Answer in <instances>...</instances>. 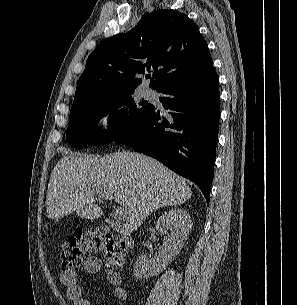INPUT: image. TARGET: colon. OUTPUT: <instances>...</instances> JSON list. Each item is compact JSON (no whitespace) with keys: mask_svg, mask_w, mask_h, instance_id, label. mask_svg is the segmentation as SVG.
Here are the masks:
<instances>
[{"mask_svg":"<svg viewBox=\"0 0 297 305\" xmlns=\"http://www.w3.org/2000/svg\"><path fill=\"white\" fill-rule=\"evenodd\" d=\"M92 252L102 253L106 263L115 270H121L126 262V247L122 239L108 230L87 228L75 232L59 251V267L72 271L81 267Z\"/></svg>","mask_w":297,"mask_h":305,"instance_id":"1","label":"colon"}]
</instances>
